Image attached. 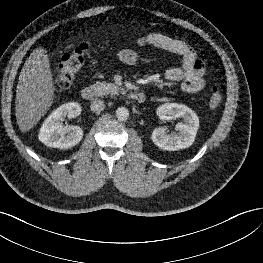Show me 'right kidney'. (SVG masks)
Here are the masks:
<instances>
[{
	"instance_id": "1",
	"label": "right kidney",
	"mask_w": 263,
	"mask_h": 263,
	"mask_svg": "<svg viewBox=\"0 0 263 263\" xmlns=\"http://www.w3.org/2000/svg\"><path fill=\"white\" fill-rule=\"evenodd\" d=\"M81 113V106L76 102L61 105L44 121L38 138L48 147L68 149L77 145L83 138V130L79 126H65V117L76 118Z\"/></svg>"
}]
</instances>
